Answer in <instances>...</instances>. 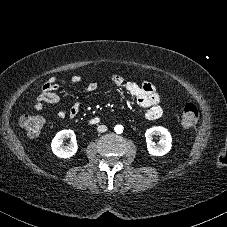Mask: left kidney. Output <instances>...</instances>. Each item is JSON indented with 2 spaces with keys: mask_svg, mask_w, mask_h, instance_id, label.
<instances>
[{
  "mask_svg": "<svg viewBox=\"0 0 227 227\" xmlns=\"http://www.w3.org/2000/svg\"><path fill=\"white\" fill-rule=\"evenodd\" d=\"M154 135H158L160 137V141L157 145L152 141ZM145 138L147 142V150L149 154L153 156H163L171 149L172 137L170 132L164 127L155 126L149 128L145 132Z\"/></svg>",
  "mask_w": 227,
  "mask_h": 227,
  "instance_id": "left-kidney-1",
  "label": "left kidney"
}]
</instances>
